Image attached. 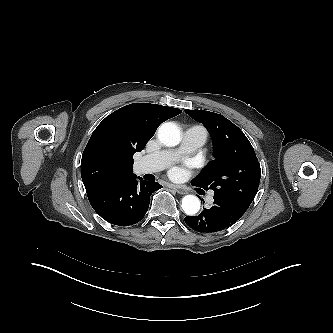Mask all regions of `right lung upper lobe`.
Segmentation results:
<instances>
[{"instance_id":"1","label":"right lung upper lobe","mask_w":333,"mask_h":333,"mask_svg":"<svg viewBox=\"0 0 333 333\" xmlns=\"http://www.w3.org/2000/svg\"><path fill=\"white\" fill-rule=\"evenodd\" d=\"M182 111L133 103L107 116L92 133L82 155L81 177L87 193L133 175V154L142 151L158 126Z\"/></svg>"}]
</instances>
